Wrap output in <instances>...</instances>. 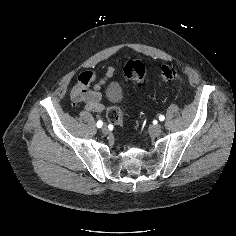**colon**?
Masks as SVG:
<instances>
[{"label": "colon", "mask_w": 236, "mask_h": 236, "mask_svg": "<svg viewBox=\"0 0 236 236\" xmlns=\"http://www.w3.org/2000/svg\"><path fill=\"white\" fill-rule=\"evenodd\" d=\"M124 74L128 79L140 83L145 79V66L138 60L129 61L124 67ZM160 76L165 83L171 85L176 84L181 78L178 70L172 65H163L160 69ZM106 118L111 124L118 126L123 124L121 110L116 106L107 110Z\"/></svg>", "instance_id": "1"}]
</instances>
